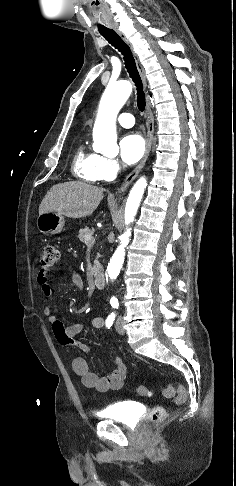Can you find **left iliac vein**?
<instances>
[{"label": "left iliac vein", "mask_w": 236, "mask_h": 486, "mask_svg": "<svg viewBox=\"0 0 236 486\" xmlns=\"http://www.w3.org/2000/svg\"><path fill=\"white\" fill-rule=\"evenodd\" d=\"M115 328L119 334L123 335L125 333V329L123 327V318L121 316L117 318Z\"/></svg>", "instance_id": "1"}]
</instances>
